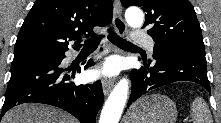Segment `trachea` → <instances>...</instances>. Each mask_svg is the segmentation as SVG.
I'll return each instance as SVG.
<instances>
[{"label":"trachea","instance_id":"trachea-1","mask_svg":"<svg viewBox=\"0 0 221 123\" xmlns=\"http://www.w3.org/2000/svg\"><path fill=\"white\" fill-rule=\"evenodd\" d=\"M109 35H108V39L115 44L116 46L119 47H132L135 46L134 44H132L131 42L124 40L123 38H121L120 36H118L112 29H108ZM102 38V36H98L89 40H85V45L84 47L87 48H97V46L100 43V39Z\"/></svg>","mask_w":221,"mask_h":123}]
</instances>
